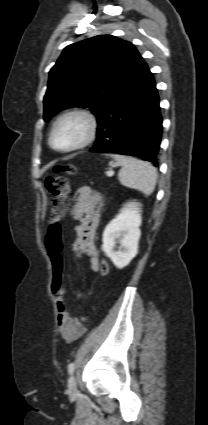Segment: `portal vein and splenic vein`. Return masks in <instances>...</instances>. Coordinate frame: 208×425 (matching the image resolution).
Instances as JSON below:
<instances>
[{
    "label": "portal vein and splenic vein",
    "mask_w": 208,
    "mask_h": 425,
    "mask_svg": "<svg viewBox=\"0 0 208 425\" xmlns=\"http://www.w3.org/2000/svg\"><path fill=\"white\" fill-rule=\"evenodd\" d=\"M107 177H112L114 172L112 170L106 172Z\"/></svg>",
    "instance_id": "obj_1"
}]
</instances>
